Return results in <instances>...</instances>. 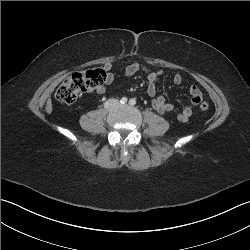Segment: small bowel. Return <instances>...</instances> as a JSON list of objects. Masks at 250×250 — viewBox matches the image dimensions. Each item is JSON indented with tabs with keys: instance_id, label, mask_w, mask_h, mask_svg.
Here are the masks:
<instances>
[{
	"instance_id": "1",
	"label": "small bowel",
	"mask_w": 250,
	"mask_h": 250,
	"mask_svg": "<svg viewBox=\"0 0 250 250\" xmlns=\"http://www.w3.org/2000/svg\"><path fill=\"white\" fill-rule=\"evenodd\" d=\"M103 71L105 72L106 75V80L104 84H111L114 80L112 64L106 63L103 66ZM139 72L144 73L147 77V94L149 97L152 98L151 104L153 109L157 111L159 114H164L172 111L174 109V105L167 102V100L163 96H157L156 83L159 80V78L164 75V71L161 69L156 71L150 70L146 65L138 62L127 65L123 70V74L127 77L133 76ZM172 82L175 85L181 84L182 82L181 75L175 74L172 78ZM104 84L96 88V92L98 94L105 93L106 88ZM189 92L191 95L190 103L185 107H183L181 111L177 114V119L180 122H186L192 115L193 108L197 106L203 99V94L197 86L192 85L189 88Z\"/></svg>"
}]
</instances>
